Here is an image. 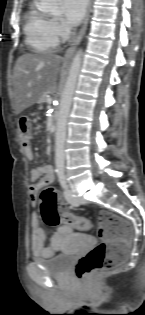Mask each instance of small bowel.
I'll return each mask as SVG.
<instances>
[{"mask_svg":"<svg viewBox=\"0 0 145 315\" xmlns=\"http://www.w3.org/2000/svg\"><path fill=\"white\" fill-rule=\"evenodd\" d=\"M24 153L29 160L34 158V153L30 145L23 147ZM31 184L29 186V196L31 202H37L38 193L47 185L51 184L54 180V172L51 165L36 166L30 171ZM32 233L30 236L31 251L38 257H52L56 252L61 250L63 240L72 232V226L63 223L60 224L52 236L50 246H45L46 230L40 226L39 216L33 213L31 216Z\"/></svg>","mask_w":145,"mask_h":315,"instance_id":"obj_1","label":"small bowel"}]
</instances>
